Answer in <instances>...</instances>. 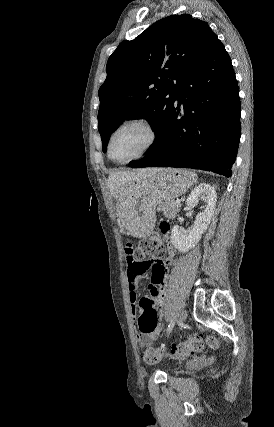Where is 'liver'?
I'll return each mask as SVG.
<instances>
[{"mask_svg": "<svg viewBox=\"0 0 274 427\" xmlns=\"http://www.w3.org/2000/svg\"><path fill=\"white\" fill-rule=\"evenodd\" d=\"M158 170H161V168H145V170H133V172H112V174H109L107 182L111 196L117 202H124V200L129 198L130 194H134V192H129L127 186L133 184L136 176L140 180H143V178L150 176V174H156Z\"/></svg>", "mask_w": 274, "mask_h": 427, "instance_id": "6515ba94", "label": "liver"}]
</instances>
